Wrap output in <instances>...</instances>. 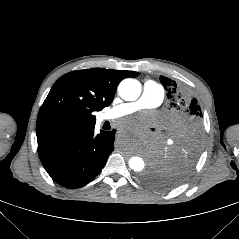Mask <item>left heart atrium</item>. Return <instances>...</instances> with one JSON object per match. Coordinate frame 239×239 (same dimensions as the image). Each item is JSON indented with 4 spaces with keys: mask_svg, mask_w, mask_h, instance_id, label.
<instances>
[{
    "mask_svg": "<svg viewBox=\"0 0 239 239\" xmlns=\"http://www.w3.org/2000/svg\"><path fill=\"white\" fill-rule=\"evenodd\" d=\"M122 125L125 127H130V126H139L140 125V120L137 118H133L130 120H126L122 122Z\"/></svg>",
    "mask_w": 239,
    "mask_h": 239,
    "instance_id": "obj_1",
    "label": "left heart atrium"
}]
</instances>
